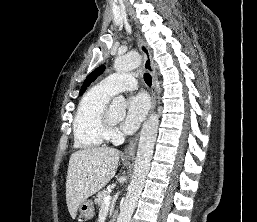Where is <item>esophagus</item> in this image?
I'll return each mask as SVG.
<instances>
[{
	"mask_svg": "<svg viewBox=\"0 0 257 222\" xmlns=\"http://www.w3.org/2000/svg\"><path fill=\"white\" fill-rule=\"evenodd\" d=\"M137 39H138L139 49L144 58L143 66L152 76V90H151L152 105H151V111H150L152 112L155 109L156 102H157V76L155 73L154 63L151 57V53L147 44L144 42L143 39H141L139 34H137ZM138 139H139V134H137L126 146L123 153L125 157L134 158Z\"/></svg>",
	"mask_w": 257,
	"mask_h": 222,
	"instance_id": "34e87169",
	"label": "esophagus"
}]
</instances>
